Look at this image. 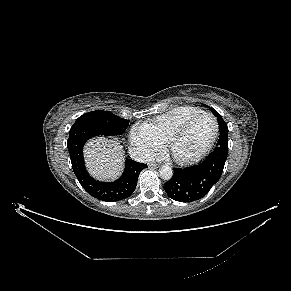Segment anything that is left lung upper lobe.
<instances>
[{
    "mask_svg": "<svg viewBox=\"0 0 291 291\" xmlns=\"http://www.w3.org/2000/svg\"><path fill=\"white\" fill-rule=\"evenodd\" d=\"M211 112L218 119V124H219V127H220V135H223L224 138L228 139V127H227V124L225 123V121L223 120V118L221 117V115L215 109L212 108L211 109Z\"/></svg>",
    "mask_w": 291,
    "mask_h": 291,
    "instance_id": "1",
    "label": "left lung upper lobe"
}]
</instances>
